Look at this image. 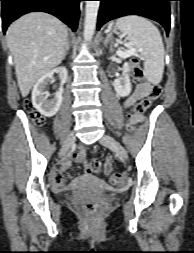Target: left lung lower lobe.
I'll return each mask as SVG.
<instances>
[{
    "mask_svg": "<svg viewBox=\"0 0 194 253\" xmlns=\"http://www.w3.org/2000/svg\"><path fill=\"white\" fill-rule=\"evenodd\" d=\"M97 29L106 22L125 15H140L159 22L169 34L172 0H99Z\"/></svg>",
    "mask_w": 194,
    "mask_h": 253,
    "instance_id": "1",
    "label": "left lung lower lobe"
}]
</instances>
